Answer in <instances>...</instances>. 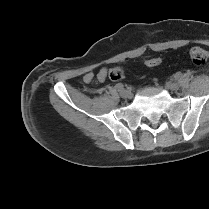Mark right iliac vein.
Listing matches in <instances>:
<instances>
[{
  "label": "right iliac vein",
  "instance_id": "1",
  "mask_svg": "<svg viewBox=\"0 0 209 209\" xmlns=\"http://www.w3.org/2000/svg\"><path fill=\"white\" fill-rule=\"evenodd\" d=\"M120 96L123 98H131L132 93L129 90H121Z\"/></svg>",
  "mask_w": 209,
  "mask_h": 209
}]
</instances>
